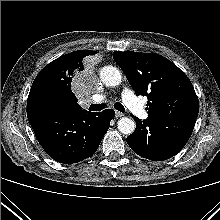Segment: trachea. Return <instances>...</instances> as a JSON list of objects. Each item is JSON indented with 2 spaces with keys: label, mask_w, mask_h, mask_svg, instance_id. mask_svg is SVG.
Wrapping results in <instances>:
<instances>
[{
  "label": "trachea",
  "mask_w": 220,
  "mask_h": 220,
  "mask_svg": "<svg viewBox=\"0 0 220 220\" xmlns=\"http://www.w3.org/2000/svg\"><path fill=\"white\" fill-rule=\"evenodd\" d=\"M105 107H106V104H96V105L92 104V105H90L89 110H91V111H100V110L104 109ZM114 107H115V109H117L120 112L125 111L124 106L120 102H116L114 104Z\"/></svg>",
  "instance_id": "3493384b"
}]
</instances>
